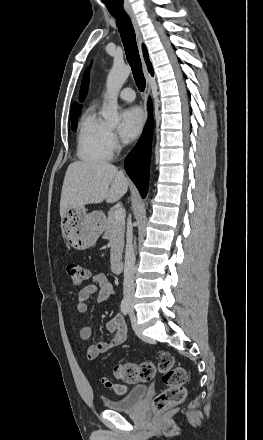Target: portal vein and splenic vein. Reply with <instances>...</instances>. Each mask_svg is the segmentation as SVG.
<instances>
[{"label":"portal vein and splenic vein","mask_w":263,"mask_h":440,"mask_svg":"<svg viewBox=\"0 0 263 440\" xmlns=\"http://www.w3.org/2000/svg\"><path fill=\"white\" fill-rule=\"evenodd\" d=\"M114 217L117 221L124 219L125 218V210L122 208L116 209V211L114 213Z\"/></svg>","instance_id":"18ae733b"}]
</instances>
